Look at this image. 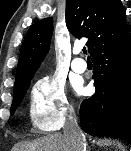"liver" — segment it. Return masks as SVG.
<instances>
[{
	"mask_svg": "<svg viewBox=\"0 0 131 151\" xmlns=\"http://www.w3.org/2000/svg\"><path fill=\"white\" fill-rule=\"evenodd\" d=\"M12 151H74V147L63 134L56 133L33 142L20 143Z\"/></svg>",
	"mask_w": 131,
	"mask_h": 151,
	"instance_id": "liver-1",
	"label": "liver"
}]
</instances>
